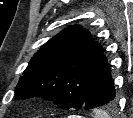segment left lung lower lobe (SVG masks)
<instances>
[{
	"label": "left lung lower lobe",
	"mask_w": 133,
	"mask_h": 118,
	"mask_svg": "<svg viewBox=\"0 0 133 118\" xmlns=\"http://www.w3.org/2000/svg\"><path fill=\"white\" fill-rule=\"evenodd\" d=\"M114 101H116V90L111 76L110 66L107 62L96 83L90 90L85 100L84 108L93 109L103 107L105 110H110L107 106Z\"/></svg>",
	"instance_id": "1"
}]
</instances>
